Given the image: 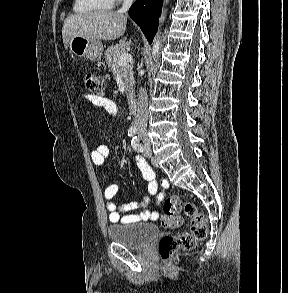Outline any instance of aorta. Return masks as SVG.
<instances>
[{"instance_id":"1","label":"aorta","mask_w":288,"mask_h":293,"mask_svg":"<svg viewBox=\"0 0 288 293\" xmlns=\"http://www.w3.org/2000/svg\"><path fill=\"white\" fill-rule=\"evenodd\" d=\"M168 3V0H165L164 4L166 5ZM165 18H166V10L163 8V11H162V14H161V17H160V25H159V30H160V27L162 26V23L165 21ZM161 32L158 31L154 41H153V44H152V54H153V58L154 60L157 59L158 55H159V52H160V48H161Z\"/></svg>"}]
</instances>
